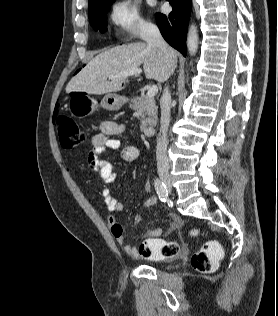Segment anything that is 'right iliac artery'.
Returning <instances> with one entry per match:
<instances>
[{"label": "right iliac artery", "instance_id": "obj_1", "mask_svg": "<svg viewBox=\"0 0 278 316\" xmlns=\"http://www.w3.org/2000/svg\"><path fill=\"white\" fill-rule=\"evenodd\" d=\"M154 186H155L159 199L161 200V202L165 203L168 197V190H167L166 185L162 181H160L158 178H156L154 181Z\"/></svg>", "mask_w": 278, "mask_h": 316}]
</instances>
